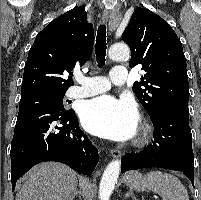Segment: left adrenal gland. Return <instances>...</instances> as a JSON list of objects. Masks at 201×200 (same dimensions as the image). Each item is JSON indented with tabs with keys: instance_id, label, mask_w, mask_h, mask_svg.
Wrapping results in <instances>:
<instances>
[{
	"instance_id": "1",
	"label": "left adrenal gland",
	"mask_w": 201,
	"mask_h": 200,
	"mask_svg": "<svg viewBox=\"0 0 201 200\" xmlns=\"http://www.w3.org/2000/svg\"><path fill=\"white\" fill-rule=\"evenodd\" d=\"M129 197H131L133 200H137V198H136V196L134 195L132 189H130V190L126 193V195H125V198H129Z\"/></svg>"
}]
</instances>
